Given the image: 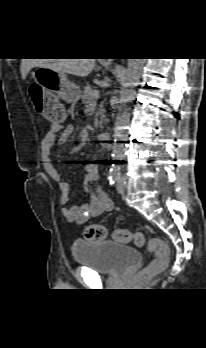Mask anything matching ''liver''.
<instances>
[{"label": "liver", "instance_id": "liver-1", "mask_svg": "<svg viewBox=\"0 0 206 348\" xmlns=\"http://www.w3.org/2000/svg\"><path fill=\"white\" fill-rule=\"evenodd\" d=\"M94 65L95 59H23L20 70L23 79H26L34 67H46L61 73L86 77L92 72Z\"/></svg>", "mask_w": 206, "mask_h": 348}]
</instances>
